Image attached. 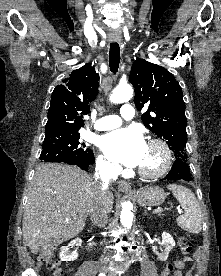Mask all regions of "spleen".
Returning <instances> with one entry per match:
<instances>
[{"label": "spleen", "instance_id": "1", "mask_svg": "<svg viewBox=\"0 0 221 276\" xmlns=\"http://www.w3.org/2000/svg\"><path fill=\"white\" fill-rule=\"evenodd\" d=\"M167 188L172 191L185 211L184 215H180L176 219L178 226L189 233H200L202 212L194 193L189 188L177 184H169Z\"/></svg>", "mask_w": 221, "mask_h": 276}]
</instances>
